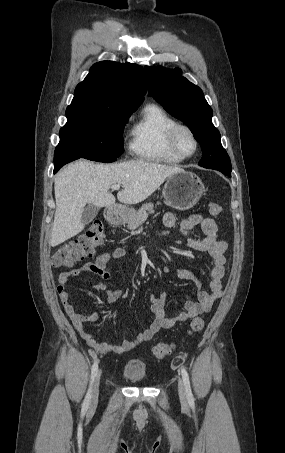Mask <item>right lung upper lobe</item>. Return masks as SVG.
Wrapping results in <instances>:
<instances>
[{
	"mask_svg": "<svg viewBox=\"0 0 285 453\" xmlns=\"http://www.w3.org/2000/svg\"><path fill=\"white\" fill-rule=\"evenodd\" d=\"M148 81L136 64L101 61L79 83L71 105L97 106L135 111L144 100Z\"/></svg>",
	"mask_w": 285,
	"mask_h": 453,
	"instance_id": "obj_1",
	"label": "right lung upper lobe"
}]
</instances>
